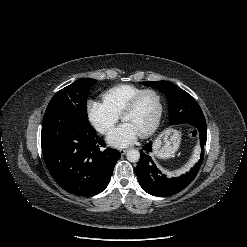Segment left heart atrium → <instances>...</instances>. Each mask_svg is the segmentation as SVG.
Instances as JSON below:
<instances>
[{"label":"left heart atrium","instance_id":"39dd6f15","mask_svg":"<svg viewBox=\"0 0 247 247\" xmlns=\"http://www.w3.org/2000/svg\"><path fill=\"white\" fill-rule=\"evenodd\" d=\"M138 136L137 130L130 123L124 122L108 134L107 141L115 147H126L133 144Z\"/></svg>","mask_w":247,"mask_h":247}]
</instances>
